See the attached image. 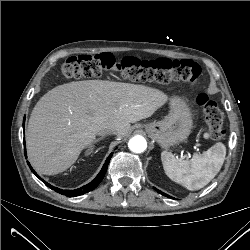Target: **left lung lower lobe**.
<instances>
[{"instance_id":"obj_1","label":"left lung lower lobe","mask_w":250,"mask_h":250,"mask_svg":"<svg viewBox=\"0 0 250 250\" xmlns=\"http://www.w3.org/2000/svg\"><path fill=\"white\" fill-rule=\"evenodd\" d=\"M154 189H155L158 193L162 194L163 196H166V197H168V198H172V197H170L169 195H167V194L161 192L160 190L156 189L155 187H154ZM173 199H174V198H173Z\"/></svg>"}]
</instances>
